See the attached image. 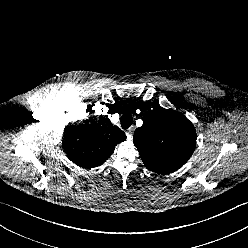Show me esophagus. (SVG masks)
Instances as JSON below:
<instances>
[{"instance_id": "1", "label": "esophagus", "mask_w": 248, "mask_h": 248, "mask_svg": "<svg viewBox=\"0 0 248 248\" xmlns=\"http://www.w3.org/2000/svg\"><path fill=\"white\" fill-rule=\"evenodd\" d=\"M135 130V126H131L127 131H126V135L128 137V139H132L133 137V132Z\"/></svg>"}]
</instances>
